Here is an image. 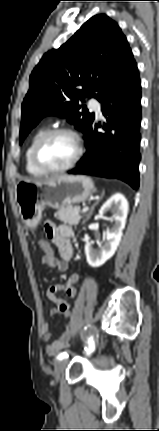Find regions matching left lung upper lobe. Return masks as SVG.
<instances>
[{"label":"left lung upper lobe","instance_id":"1","mask_svg":"<svg viewBox=\"0 0 159 431\" xmlns=\"http://www.w3.org/2000/svg\"><path fill=\"white\" fill-rule=\"evenodd\" d=\"M134 61L126 37L104 14L90 18L60 48L44 54L22 103L21 141L46 115L68 118L84 135L94 113L79 102L102 101ZM82 87V89H80Z\"/></svg>","mask_w":159,"mask_h":431}]
</instances>
